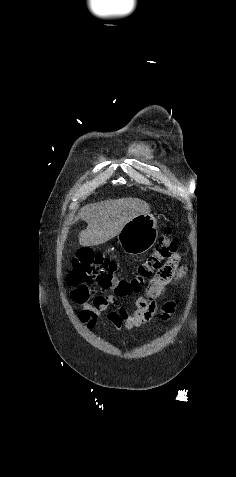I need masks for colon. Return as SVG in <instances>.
Instances as JSON below:
<instances>
[{
    "mask_svg": "<svg viewBox=\"0 0 236 477\" xmlns=\"http://www.w3.org/2000/svg\"><path fill=\"white\" fill-rule=\"evenodd\" d=\"M178 264V241L173 237L171 228L167 227L165 235L138 266L133 278L119 277L115 260L90 248H82L73 261L67 282L73 289L72 296L76 302H86L92 292L103 289L113 291V304H117L118 299L130 297L143 289H153L163 294L176 277ZM104 299L110 300L108 296Z\"/></svg>",
    "mask_w": 236,
    "mask_h": 477,
    "instance_id": "5ec220e1",
    "label": "colon"
}]
</instances>
